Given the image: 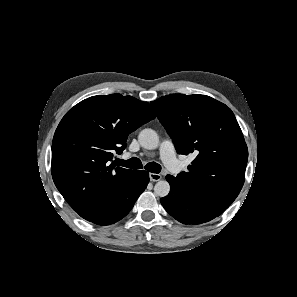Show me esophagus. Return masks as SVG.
<instances>
[{
  "label": "esophagus",
  "mask_w": 297,
  "mask_h": 297,
  "mask_svg": "<svg viewBox=\"0 0 297 297\" xmlns=\"http://www.w3.org/2000/svg\"><path fill=\"white\" fill-rule=\"evenodd\" d=\"M149 177H150V181H152V182L159 181L162 178L161 175L156 174V173H150Z\"/></svg>",
  "instance_id": "esophagus-1"
}]
</instances>
